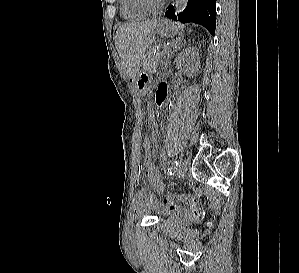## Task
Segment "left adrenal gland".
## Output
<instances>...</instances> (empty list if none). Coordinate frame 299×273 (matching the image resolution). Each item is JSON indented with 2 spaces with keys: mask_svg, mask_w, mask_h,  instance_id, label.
Returning <instances> with one entry per match:
<instances>
[{
  "mask_svg": "<svg viewBox=\"0 0 299 273\" xmlns=\"http://www.w3.org/2000/svg\"><path fill=\"white\" fill-rule=\"evenodd\" d=\"M182 40H183V38H182V39H179L178 41L175 42V44L172 46V47H173V51H172L171 48H170V50H169L170 55L168 56V58H167V60H166V64H165V67H164V68H167L168 65H170V59L174 56L175 52H176L178 49H180L181 47H183L184 44L182 43Z\"/></svg>",
  "mask_w": 299,
  "mask_h": 273,
  "instance_id": "1",
  "label": "left adrenal gland"
}]
</instances>
